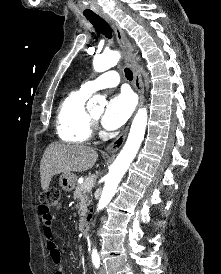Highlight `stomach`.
Segmentation results:
<instances>
[{"instance_id":"1","label":"stomach","mask_w":221,"mask_h":274,"mask_svg":"<svg viewBox=\"0 0 221 274\" xmlns=\"http://www.w3.org/2000/svg\"><path fill=\"white\" fill-rule=\"evenodd\" d=\"M76 183V175L73 173H63L59 180L60 187L67 192L74 189Z\"/></svg>"}]
</instances>
